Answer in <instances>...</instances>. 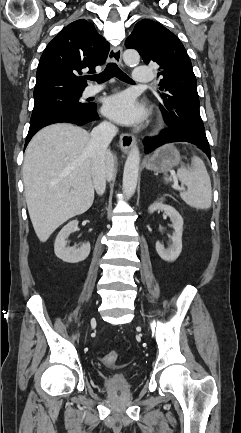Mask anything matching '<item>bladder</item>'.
Instances as JSON below:
<instances>
[{
    "label": "bladder",
    "mask_w": 241,
    "mask_h": 433,
    "mask_svg": "<svg viewBox=\"0 0 241 433\" xmlns=\"http://www.w3.org/2000/svg\"><path fill=\"white\" fill-rule=\"evenodd\" d=\"M133 378L124 372H115L104 378V384L110 389L126 390L132 385Z\"/></svg>",
    "instance_id": "bladder-1"
}]
</instances>
